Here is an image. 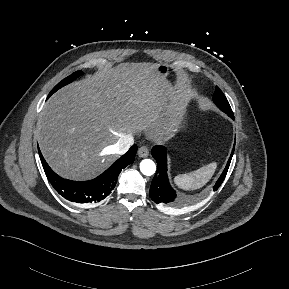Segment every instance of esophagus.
Here are the masks:
<instances>
[{"mask_svg":"<svg viewBox=\"0 0 289 289\" xmlns=\"http://www.w3.org/2000/svg\"><path fill=\"white\" fill-rule=\"evenodd\" d=\"M149 155V149L146 146H141L138 149V156L141 158H145Z\"/></svg>","mask_w":289,"mask_h":289,"instance_id":"1","label":"esophagus"}]
</instances>
